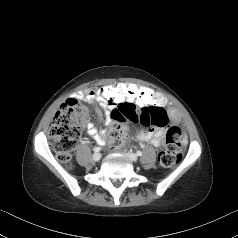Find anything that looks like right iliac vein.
I'll return each mask as SVG.
<instances>
[{
	"label": "right iliac vein",
	"instance_id": "right-iliac-vein-1",
	"mask_svg": "<svg viewBox=\"0 0 238 238\" xmlns=\"http://www.w3.org/2000/svg\"><path fill=\"white\" fill-rule=\"evenodd\" d=\"M93 161H99L101 159V154L100 153H94L92 156Z\"/></svg>",
	"mask_w": 238,
	"mask_h": 238
}]
</instances>
